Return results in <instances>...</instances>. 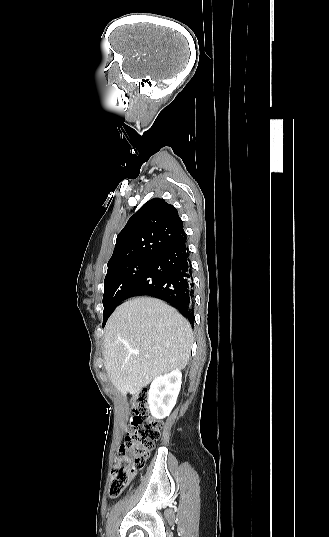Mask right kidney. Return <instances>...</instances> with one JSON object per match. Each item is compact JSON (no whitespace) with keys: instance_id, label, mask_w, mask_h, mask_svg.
Here are the masks:
<instances>
[{"instance_id":"obj_1","label":"right kidney","mask_w":329,"mask_h":537,"mask_svg":"<svg viewBox=\"0 0 329 537\" xmlns=\"http://www.w3.org/2000/svg\"><path fill=\"white\" fill-rule=\"evenodd\" d=\"M182 373L179 369L156 377L148 391V403L151 415L156 419L169 416L176 404L181 388Z\"/></svg>"}]
</instances>
